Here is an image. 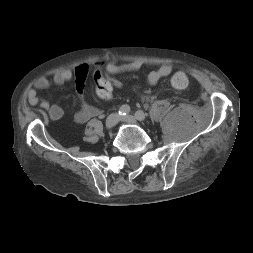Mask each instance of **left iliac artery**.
<instances>
[{
    "mask_svg": "<svg viewBox=\"0 0 253 253\" xmlns=\"http://www.w3.org/2000/svg\"><path fill=\"white\" fill-rule=\"evenodd\" d=\"M135 117H136L138 120L143 121V120H145V118H146V114H145L142 110H138V111H136V113H135Z\"/></svg>",
    "mask_w": 253,
    "mask_h": 253,
    "instance_id": "obj_1",
    "label": "left iliac artery"
}]
</instances>
